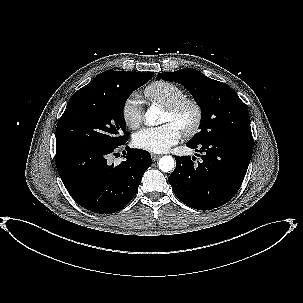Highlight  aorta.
<instances>
[{
    "instance_id": "aorta-1",
    "label": "aorta",
    "mask_w": 303,
    "mask_h": 303,
    "mask_svg": "<svg viewBox=\"0 0 303 303\" xmlns=\"http://www.w3.org/2000/svg\"><path fill=\"white\" fill-rule=\"evenodd\" d=\"M161 115V110L152 105L145 113L146 122L149 125L159 124V117ZM159 169L163 172H169L174 168V159L171 156H163L159 160Z\"/></svg>"
}]
</instances>
